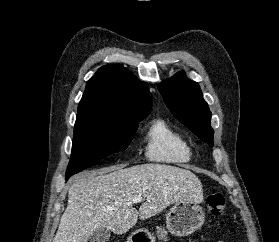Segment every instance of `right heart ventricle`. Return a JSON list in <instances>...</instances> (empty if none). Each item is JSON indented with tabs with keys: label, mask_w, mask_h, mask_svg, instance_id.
Instances as JSON below:
<instances>
[{
	"label": "right heart ventricle",
	"mask_w": 279,
	"mask_h": 242,
	"mask_svg": "<svg viewBox=\"0 0 279 242\" xmlns=\"http://www.w3.org/2000/svg\"><path fill=\"white\" fill-rule=\"evenodd\" d=\"M145 154L154 162L180 165L191 161L193 151L179 131L165 119L157 118L145 134Z\"/></svg>",
	"instance_id": "obj_1"
}]
</instances>
